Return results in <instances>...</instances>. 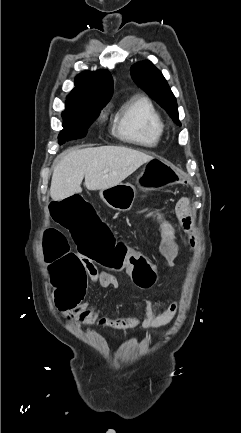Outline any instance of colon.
Here are the masks:
<instances>
[{
	"label": "colon",
	"instance_id": "obj_1",
	"mask_svg": "<svg viewBox=\"0 0 241 433\" xmlns=\"http://www.w3.org/2000/svg\"><path fill=\"white\" fill-rule=\"evenodd\" d=\"M151 168V170H148ZM141 175L145 182L141 184L143 189H153L161 186L165 190H172L180 181L189 179V174L184 173L183 168H172L170 161H163L162 157H147L144 161ZM156 177V178H155ZM82 192H74L72 198H65L64 202H49L46 206L51 221H59L61 229L69 230V239L79 250L80 257H87L89 261H102L111 265L114 270L121 268V263L132 270L137 283L143 287L149 286L155 279V273L142 255L128 252L122 244H117L115 238H109L113 227L106 220H101L98 214V205H88L83 199ZM144 216H152L156 221H170V212H164L163 207H144ZM177 219L172 223H156V228L161 231L162 240L158 244L161 252H171L173 259L177 250L178 240L183 235L179 228H175ZM44 260L43 272H51L52 286L56 303L61 312H74L75 305H83L86 292L89 289L87 280V268L80 259L69 250L65 236L56 229H49L44 236L42 248Z\"/></svg>",
	"mask_w": 241,
	"mask_h": 433
}]
</instances>
